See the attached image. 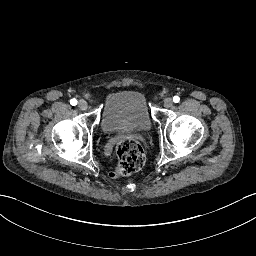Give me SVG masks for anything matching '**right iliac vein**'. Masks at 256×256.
Returning <instances> with one entry per match:
<instances>
[{
    "label": "right iliac vein",
    "mask_w": 256,
    "mask_h": 256,
    "mask_svg": "<svg viewBox=\"0 0 256 256\" xmlns=\"http://www.w3.org/2000/svg\"><path fill=\"white\" fill-rule=\"evenodd\" d=\"M80 110L85 111L88 108V102L85 100H81L78 104Z\"/></svg>",
    "instance_id": "1"
}]
</instances>
